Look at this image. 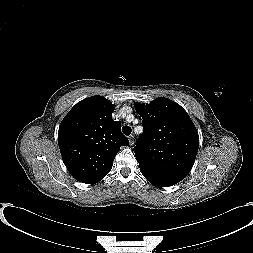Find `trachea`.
Returning a JSON list of instances; mask_svg holds the SVG:
<instances>
[{
	"instance_id": "1",
	"label": "trachea",
	"mask_w": 253,
	"mask_h": 253,
	"mask_svg": "<svg viewBox=\"0 0 253 253\" xmlns=\"http://www.w3.org/2000/svg\"><path fill=\"white\" fill-rule=\"evenodd\" d=\"M131 131H132V129H131V127H129V126H123V128H122V132L125 134V135H130L131 134Z\"/></svg>"
}]
</instances>
